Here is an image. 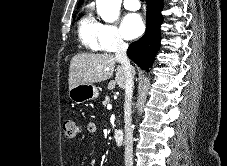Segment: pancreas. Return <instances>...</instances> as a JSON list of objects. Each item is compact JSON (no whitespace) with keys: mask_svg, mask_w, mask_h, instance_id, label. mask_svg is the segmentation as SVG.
Masks as SVG:
<instances>
[{"mask_svg":"<svg viewBox=\"0 0 227 166\" xmlns=\"http://www.w3.org/2000/svg\"><path fill=\"white\" fill-rule=\"evenodd\" d=\"M109 103H110L109 97H105L104 101L102 102L103 106L105 107V106L108 105Z\"/></svg>","mask_w":227,"mask_h":166,"instance_id":"cf45deb5","label":"pancreas"}]
</instances>
